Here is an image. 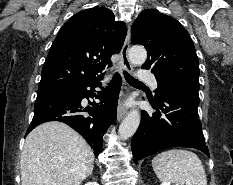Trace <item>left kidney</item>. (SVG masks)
Masks as SVG:
<instances>
[{"mask_svg":"<svg viewBox=\"0 0 233 185\" xmlns=\"http://www.w3.org/2000/svg\"><path fill=\"white\" fill-rule=\"evenodd\" d=\"M160 185H170V184H169V183H163V182H162Z\"/></svg>","mask_w":233,"mask_h":185,"instance_id":"obj_1","label":"left kidney"}]
</instances>
